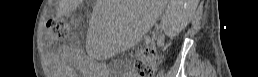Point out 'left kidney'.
Returning <instances> with one entry per match:
<instances>
[{"mask_svg":"<svg viewBox=\"0 0 258 77\" xmlns=\"http://www.w3.org/2000/svg\"><path fill=\"white\" fill-rule=\"evenodd\" d=\"M183 2V1H180ZM198 0H188L187 6L180 8H172L169 12L168 17L166 20L172 21V23H175L178 25L179 28L185 27L189 21L191 20L196 7H197Z\"/></svg>","mask_w":258,"mask_h":77,"instance_id":"left-kidney-1","label":"left kidney"}]
</instances>
